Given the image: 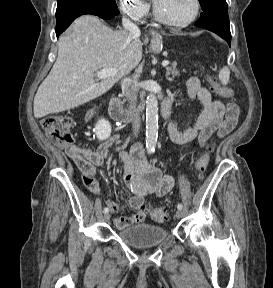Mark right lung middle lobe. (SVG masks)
Here are the masks:
<instances>
[{"mask_svg": "<svg viewBox=\"0 0 273 288\" xmlns=\"http://www.w3.org/2000/svg\"><path fill=\"white\" fill-rule=\"evenodd\" d=\"M86 10L100 14H119L115 0H58L56 17L69 12Z\"/></svg>", "mask_w": 273, "mask_h": 288, "instance_id": "right-lung-middle-lobe-1", "label": "right lung middle lobe"}]
</instances>
